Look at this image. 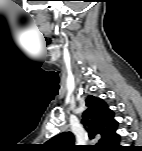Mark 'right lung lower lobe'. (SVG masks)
I'll use <instances>...</instances> for the list:
<instances>
[{
    "mask_svg": "<svg viewBox=\"0 0 142 151\" xmlns=\"http://www.w3.org/2000/svg\"><path fill=\"white\" fill-rule=\"evenodd\" d=\"M110 150H124V149H122L121 148V146L120 145H117V143L110 149Z\"/></svg>",
    "mask_w": 142,
    "mask_h": 151,
    "instance_id": "98d812e1",
    "label": "right lung lower lobe"
}]
</instances>
